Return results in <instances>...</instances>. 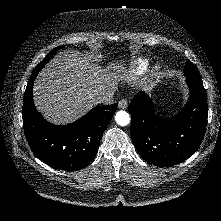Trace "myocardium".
<instances>
[{
  "label": "myocardium",
  "mask_w": 221,
  "mask_h": 221,
  "mask_svg": "<svg viewBox=\"0 0 221 221\" xmlns=\"http://www.w3.org/2000/svg\"><path fill=\"white\" fill-rule=\"evenodd\" d=\"M161 72V66L160 65H156L153 70H152V76L153 77H158L159 74Z\"/></svg>",
  "instance_id": "1"
}]
</instances>
